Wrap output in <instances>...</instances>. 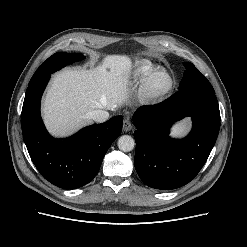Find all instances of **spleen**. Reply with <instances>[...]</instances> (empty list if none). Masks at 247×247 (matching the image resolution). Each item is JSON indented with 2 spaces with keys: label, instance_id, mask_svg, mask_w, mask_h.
Here are the masks:
<instances>
[{
  "label": "spleen",
  "instance_id": "3e777b00",
  "mask_svg": "<svg viewBox=\"0 0 247 247\" xmlns=\"http://www.w3.org/2000/svg\"><path fill=\"white\" fill-rule=\"evenodd\" d=\"M187 120L182 121L180 124H178L174 129V134L177 136L183 135L187 131Z\"/></svg>",
  "mask_w": 247,
  "mask_h": 247
}]
</instances>
